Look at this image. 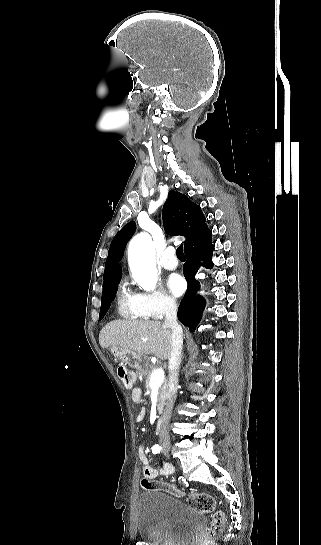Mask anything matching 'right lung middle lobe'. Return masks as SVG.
Here are the masks:
<instances>
[{"instance_id": "1", "label": "right lung middle lobe", "mask_w": 321, "mask_h": 545, "mask_svg": "<svg viewBox=\"0 0 321 545\" xmlns=\"http://www.w3.org/2000/svg\"><path fill=\"white\" fill-rule=\"evenodd\" d=\"M117 288H118V285H115L103 290L102 303H101L100 314H99L100 320L103 319V317L107 313V310L110 307V304L115 297Z\"/></svg>"}]
</instances>
